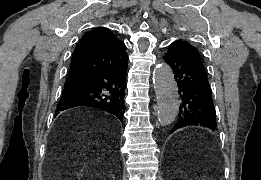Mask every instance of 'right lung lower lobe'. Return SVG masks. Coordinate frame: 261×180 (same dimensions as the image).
Listing matches in <instances>:
<instances>
[{"instance_id": "obj_1", "label": "right lung lower lobe", "mask_w": 261, "mask_h": 180, "mask_svg": "<svg viewBox=\"0 0 261 180\" xmlns=\"http://www.w3.org/2000/svg\"><path fill=\"white\" fill-rule=\"evenodd\" d=\"M127 64L94 72L81 88L62 94L57 112L77 106L105 110L123 122Z\"/></svg>"}]
</instances>
